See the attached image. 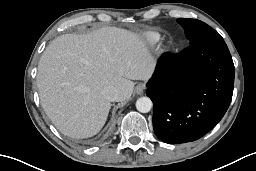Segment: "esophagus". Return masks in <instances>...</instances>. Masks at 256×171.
Masks as SVG:
<instances>
[{"mask_svg":"<svg viewBox=\"0 0 256 171\" xmlns=\"http://www.w3.org/2000/svg\"><path fill=\"white\" fill-rule=\"evenodd\" d=\"M144 90H145V84L144 83H139L135 87V92L139 95L143 94Z\"/></svg>","mask_w":256,"mask_h":171,"instance_id":"obj_1","label":"esophagus"}]
</instances>
